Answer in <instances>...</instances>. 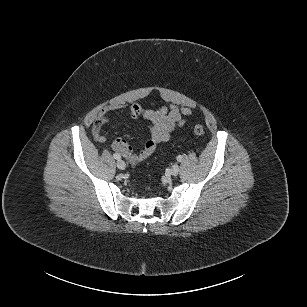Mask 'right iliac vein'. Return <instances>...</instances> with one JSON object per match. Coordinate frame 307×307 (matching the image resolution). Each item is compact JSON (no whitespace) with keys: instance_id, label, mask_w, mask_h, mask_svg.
<instances>
[{"instance_id":"obj_1","label":"right iliac vein","mask_w":307,"mask_h":307,"mask_svg":"<svg viewBox=\"0 0 307 307\" xmlns=\"http://www.w3.org/2000/svg\"><path fill=\"white\" fill-rule=\"evenodd\" d=\"M118 169L120 170H124L126 168V164L123 160H118L116 163Z\"/></svg>"}]
</instances>
